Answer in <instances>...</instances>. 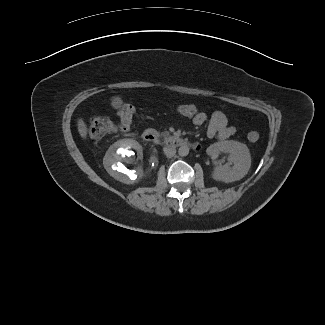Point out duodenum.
Here are the masks:
<instances>
[{"label": "duodenum", "mask_w": 325, "mask_h": 325, "mask_svg": "<svg viewBox=\"0 0 325 325\" xmlns=\"http://www.w3.org/2000/svg\"><path fill=\"white\" fill-rule=\"evenodd\" d=\"M143 140L148 143H153L158 140V135L154 130L148 129L143 132ZM167 144L175 148H183L187 146V142L179 136H170L167 139Z\"/></svg>", "instance_id": "duodenum-1"}]
</instances>
